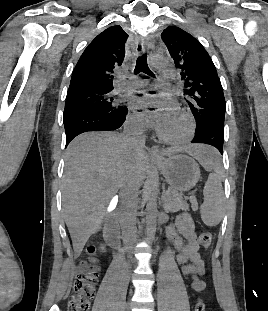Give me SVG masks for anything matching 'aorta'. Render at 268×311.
Returning <instances> with one entry per match:
<instances>
[{
	"mask_svg": "<svg viewBox=\"0 0 268 311\" xmlns=\"http://www.w3.org/2000/svg\"><path fill=\"white\" fill-rule=\"evenodd\" d=\"M151 63L156 68H164L166 66V60L161 55H153L151 57ZM159 194V175L158 172H153L147 181L146 195V233L147 241L152 243L155 239L156 224L158 217L157 199Z\"/></svg>",
	"mask_w": 268,
	"mask_h": 311,
	"instance_id": "1",
	"label": "aorta"
}]
</instances>
